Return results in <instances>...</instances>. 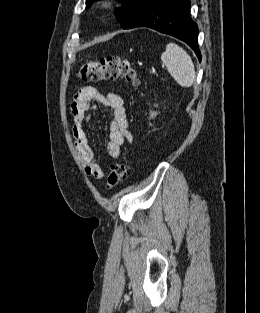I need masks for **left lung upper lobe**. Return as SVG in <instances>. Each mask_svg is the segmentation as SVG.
I'll return each instance as SVG.
<instances>
[{
  "label": "left lung upper lobe",
  "instance_id": "5c2ea615",
  "mask_svg": "<svg viewBox=\"0 0 260 313\" xmlns=\"http://www.w3.org/2000/svg\"><path fill=\"white\" fill-rule=\"evenodd\" d=\"M94 0H86L88 5ZM122 7L116 9L115 15L121 20V26L125 29L134 18L152 1V0H119Z\"/></svg>",
  "mask_w": 260,
  "mask_h": 313
}]
</instances>
